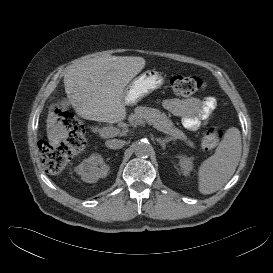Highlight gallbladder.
Here are the masks:
<instances>
[{
    "instance_id": "bac80fb5",
    "label": "gallbladder",
    "mask_w": 273,
    "mask_h": 273,
    "mask_svg": "<svg viewBox=\"0 0 273 273\" xmlns=\"http://www.w3.org/2000/svg\"><path fill=\"white\" fill-rule=\"evenodd\" d=\"M59 106L63 109H69L70 103L68 97H63L62 100L59 101Z\"/></svg>"
}]
</instances>
